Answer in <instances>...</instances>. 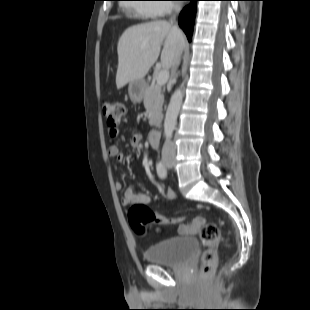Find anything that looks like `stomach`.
<instances>
[{
	"label": "stomach",
	"instance_id": "obj_1",
	"mask_svg": "<svg viewBox=\"0 0 310 310\" xmlns=\"http://www.w3.org/2000/svg\"><path fill=\"white\" fill-rule=\"evenodd\" d=\"M144 89H145V83L143 80H135L129 82L128 93L130 98L134 102L139 103L142 100Z\"/></svg>",
	"mask_w": 310,
	"mask_h": 310
}]
</instances>
